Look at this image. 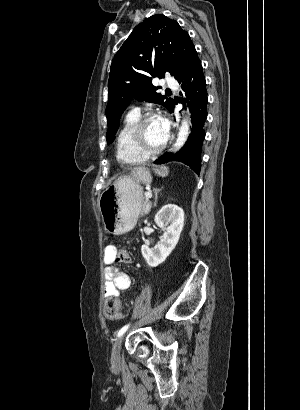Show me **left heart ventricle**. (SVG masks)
I'll list each match as a JSON object with an SVG mask.
<instances>
[{"instance_id":"obj_1","label":"left heart ventricle","mask_w":300,"mask_h":410,"mask_svg":"<svg viewBox=\"0 0 300 410\" xmlns=\"http://www.w3.org/2000/svg\"><path fill=\"white\" fill-rule=\"evenodd\" d=\"M167 135L162 131L157 118L149 120L144 126V140L149 147H158L164 143Z\"/></svg>"}]
</instances>
